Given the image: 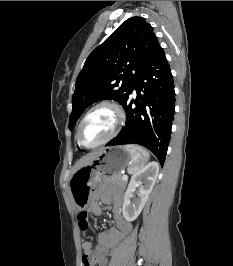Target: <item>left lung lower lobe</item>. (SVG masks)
I'll return each instance as SVG.
<instances>
[{"instance_id": "obj_1", "label": "left lung lower lobe", "mask_w": 233, "mask_h": 266, "mask_svg": "<svg viewBox=\"0 0 233 266\" xmlns=\"http://www.w3.org/2000/svg\"><path fill=\"white\" fill-rule=\"evenodd\" d=\"M134 89L136 100L129 97L123 105L126 125L106 146L142 145L152 151L163 166L175 113V91L173 76L160 45L147 59Z\"/></svg>"}]
</instances>
